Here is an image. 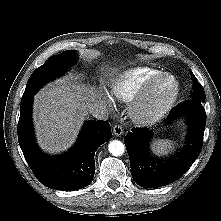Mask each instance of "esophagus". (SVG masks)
Listing matches in <instances>:
<instances>
[{
    "label": "esophagus",
    "instance_id": "34e87169",
    "mask_svg": "<svg viewBox=\"0 0 221 221\" xmlns=\"http://www.w3.org/2000/svg\"><path fill=\"white\" fill-rule=\"evenodd\" d=\"M123 128L120 125H114L113 126V133L116 136H121L123 134Z\"/></svg>",
    "mask_w": 221,
    "mask_h": 221
}]
</instances>
